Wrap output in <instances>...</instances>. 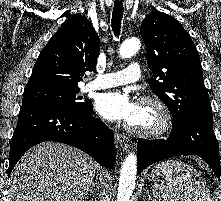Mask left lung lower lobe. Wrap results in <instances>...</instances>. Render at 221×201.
<instances>
[{
  "label": "left lung lower lobe",
  "mask_w": 221,
  "mask_h": 201,
  "mask_svg": "<svg viewBox=\"0 0 221 201\" xmlns=\"http://www.w3.org/2000/svg\"><path fill=\"white\" fill-rule=\"evenodd\" d=\"M181 155L200 156L220 178L219 147L213 131L212 117L193 116L173 125L167 139H139L138 173L153 163Z\"/></svg>",
  "instance_id": "1"
}]
</instances>
